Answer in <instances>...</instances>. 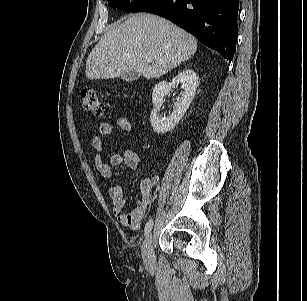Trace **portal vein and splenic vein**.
<instances>
[{
	"mask_svg": "<svg viewBox=\"0 0 307 301\" xmlns=\"http://www.w3.org/2000/svg\"><path fill=\"white\" fill-rule=\"evenodd\" d=\"M146 61L151 63L152 62V58H146Z\"/></svg>",
	"mask_w": 307,
	"mask_h": 301,
	"instance_id": "1",
	"label": "portal vein and splenic vein"
}]
</instances>
